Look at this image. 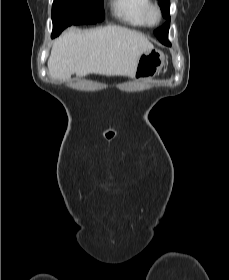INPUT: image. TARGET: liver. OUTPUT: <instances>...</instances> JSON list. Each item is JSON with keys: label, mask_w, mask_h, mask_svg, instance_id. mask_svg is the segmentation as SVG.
I'll return each mask as SVG.
<instances>
[{"label": "liver", "mask_w": 229, "mask_h": 280, "mask_svg": "<svg viewBox=\"0 0 229 280\" xmlns=\"http://www.w3.org/2000/svg\"><path fill=\"white\" fill-rule=\"evenodd\" d=\"M153 48L143 34L124 27L71 28L53 42L48 71L51 78L60 81L73 74L133 78L139 57Z\"/></svg>", "instance_id": "6515ba94"}]
</instances>
